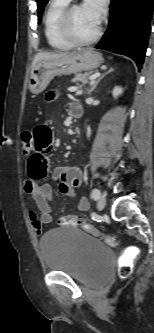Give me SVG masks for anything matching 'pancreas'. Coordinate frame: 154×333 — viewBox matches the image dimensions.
Here are the masks:
<instances>
[{
	"label": "pancreas",
	"instance_id": "pancreas-1",
	"mask_svg": "<svg viewBox=\"0 0 154 333\" xmlns=\"http://www.w3.org/2000/svg\"><path fill=\"white\" fill-rule=\"evenodd\" d=\"M71 81L76 83L77 86H79V82L85 84L87 81V74H77Z\"/></svg>",
	"mask_w": 154,
	"mask_h": 333
}]
</instances>
